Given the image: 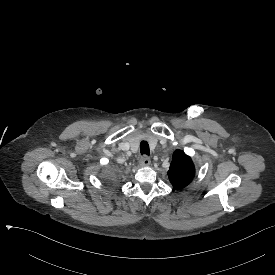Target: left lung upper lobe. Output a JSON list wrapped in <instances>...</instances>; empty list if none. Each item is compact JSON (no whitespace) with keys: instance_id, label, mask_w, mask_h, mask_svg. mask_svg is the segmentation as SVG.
<instances>
[{"instance_id":"obj_1","label":"left lung upper lobe","mask_w":275,"mask_h":275,"mask_svg":"<svg viewBox=\"0 0 275 275\" xmlns=\"http://www.w3.org/2000/svg\"><path fill=\"white\" fill-rule=\"evenodd\" d=\"M195 168L191 158L182 150H175L168 171V177L177 190L186 187L194 178Z\"/></svg>"}]
</instances>
